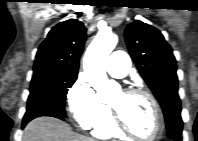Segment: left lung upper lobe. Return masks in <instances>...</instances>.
Instances as JSON below:
<instances>
[{
    "label": "left lung upper lobe",
    "mask_w": 198,
    "mask_h": 141,
    "mask_svg": "<svg viewBox=\"0 0 198 141\" xmlns=\"http://www.w3.org/2000/svg\"><path fill=\"white\" fill-rule=\"evenodd\" d=\"M129 53L164 113L167 132L182 131L176 60L155 27L136 20L125 30Z\"/></svg>",
    "instance_id": "obj_1"
}]
</instances>
